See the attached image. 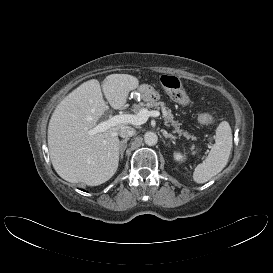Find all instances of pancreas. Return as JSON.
<instances>
[{"instance_id":"1","label":"pancreas","mask_w":273,"mask_h":273,"mask_svg":"<svg viewBox=\"0 0 273 273\" xmlns=\"http://www.w3.org/2000/svg\"><path fill=\"white\" fill-rule=\"evenodd\" d=\"M151 108H155L157 110H161L163 113V118H164V123L166 126H172L174 127V133L179 134V136L183 135L186 138H191L194 139V136L190 135L187 131H183L182 129H180V125L181 123H179L178 121L174 120L173 114L171 113V110L166 107L164 102H141L139 104H134L133 105V112L134 113H139L142 109H151Z\"/></svg>"}]
</instances>
